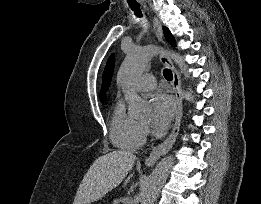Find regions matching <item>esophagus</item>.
Here are the masks:
<instances>
[{
	"instance_id": "esophagus-1",
	"label": "esophagus",
	"mask_w": 261,
	"mask_h": 204,
	"mask_svg": "<svg viewBox=\"0 0 261 204\" xmlns=\"http://www.w3.org/2000/svg\"><path fill=\"white\" fill-rule=\"evenodd\" d=\"M154 29L156 31V35L160 42H162V28L157 18H153ZM161 62L166 66L169 67L173 74V89L176 97L177 103V112L175 117L174 127L170 133V135L158 146H156L152 152L150 153L149 157L145 160V164L147 166H152L155 162L160 158V156L166 154L175 143L176 137L178 135L182 114H183V97H182V89H181V81L178 74L177 69L175 68L173 62L168 56L162 55Z\"/></svg>"
}]
</instances>
